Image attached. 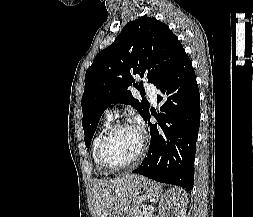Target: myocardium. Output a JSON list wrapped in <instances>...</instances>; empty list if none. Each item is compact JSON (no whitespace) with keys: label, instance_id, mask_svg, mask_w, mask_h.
I'll return each instance as SVG.
<instances>
[{"label":"myocardium","instance_id":"f54148a6","mask_svg":"<svg viewBox=\"0 0 253 217\" xmlns=\"http://www.w3.org/2000/svg\"><path fill=\"white\" fill-rule=\"evenodd\" d=\"M125 127H134L139 131L140 136H141V147H140L138 154L129 163L121 165V166H112V165L108 164L104 159V147H105V144H106L107 140L109 139V137L115 131H117L118 129H121V128H125ZM147 147H148V138L143 130L133 126L129 122H116V123L112 124L105 131V133L103 134V136L101 137V139L99 141L98 148H97V160H98L99 167L101 168L102 171H104L105 173H108V174L118 173L123 170L129 169V168L135 166L137 163H139L143 159V157L146 153Z\"/></svg>","mask_w":253,"mask_h":217}]
</instances>
